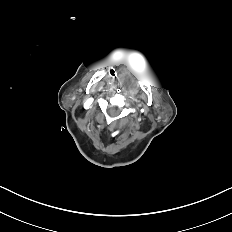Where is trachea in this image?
Segmentation results:
<instances>
[{
  "instance_id": "3493384b",
  "label": "trachea",
  "mask_w": 232,
  "mask_h": 232,
  "mask_svg": "<svg viewBox=\"0 0 232 232\" xmlns=\"http://www.w3.org/2000/svg\"><path fill=\"white\" fill-rule=\"evenodd\" d=\"M108 74H109V76H110L111 79H115L116 78V71L115 70L110 69Z\"/></svg>"
}]
</instances>
